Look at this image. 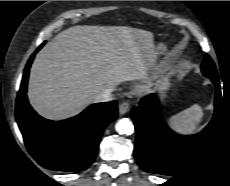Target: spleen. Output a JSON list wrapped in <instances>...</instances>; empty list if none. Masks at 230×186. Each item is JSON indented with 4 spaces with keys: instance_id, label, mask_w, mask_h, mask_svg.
I'll return each instance as SVG.
<instances>
[{
    "instance_id": "1",
    "label": "spleen",
    "mask_w": 230,
    "mask_h": 186,
    "mask_svg": "<svg viewBox=\"0 0 230 186\" xmlns=\"http://www.w3.org/2000/svg\"><path fill=\"white\" fill-rule=\"evenodd\" d=\"M203 117V110L200 105L194 104L184 111L169 118L170 126L180 133L193 132L197 124H199Z\"/></svg>"
}]
</instances>
